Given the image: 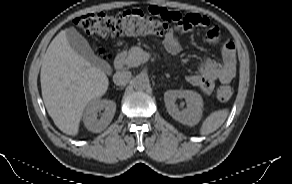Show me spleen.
I'll return each instance as SVG.
<instances>
[{
  "label": "spleen",
  "mask_w": 292,
  "mask_h": 184,
  "mask_svg": "<svg viewBox=\"0 0 292 184\" xmlns=\"http://www.w3.org/2000/svg\"><path fill=\"white\" fill-rule=\"evenodd\" d=\"M229 114L228 109H221L212 112L202 123L200 134L202 136L208 135L216 131L226 120Z\"/></svg>",
  "instance_id": "obj_1"
}]
</instances>
